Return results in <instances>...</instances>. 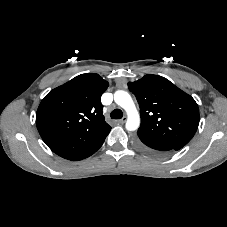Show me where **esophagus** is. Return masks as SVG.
<instances>
[{"mask_svg": "<svg viewBox=\"0 0 227 227\" xmlns=\"http://www.w3.org/2000/svg\"><path fill=\"white\" fill-rule=\"evenodd\" d=\"M127 118L123 117L122 119L118 120L117 123L118 124H124L126 122Z\"/></svg>", "mask_w": 227, "mask_h": 227, "instance_id": "34e87169", "label": "esophagus"}]
</instances>
